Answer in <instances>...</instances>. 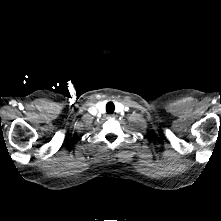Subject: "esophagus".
Wrapping results in <instances>:
<instances>
[{
  "mask_svg": "<svg viewBox=\"0 0 221 221\" xmlns=\"http://www.w3.org/2000/svg\"><path fill=\"white\" fill-rule=\"evenodd\" d=\"M108 118H109V119H114L115 116H114L113 114H111V115H108Z\"/></svg>",
  "mask_w": 221,
  "mask_h": 221,
  "instance_id": "1",
  "label": "esophagus"
}]
</instances>
